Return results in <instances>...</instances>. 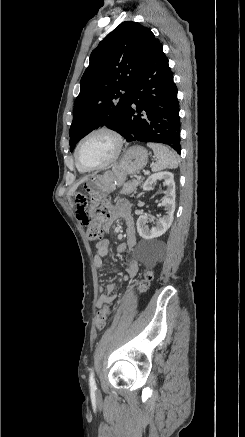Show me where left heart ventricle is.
Here are the masks:
<instances>
[{
  "mask_svg": "<svg viewBox=\"0 0 245 437\" xmlns=\"http://www.w3.org/2000/svg\"><path fill=\"white\" fill-rule=\"evenodd\" d=\"M114 139L106 133H97L81 145L79 156L86 165H98L107 161L115 151Z\"/></svg>",
  "mask_w": 245,
  "mask_h": 437,
  "instance_id": "left-heart-ventricle-1",
  "label": "left heart ventricle"
}]
</instances>
